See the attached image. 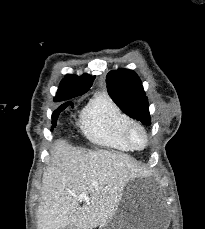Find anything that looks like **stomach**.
<instances>
[{
  "label": "stomach",
  "mask_w": 205,
  "mask_h": 229,
  "mask_svg": "<svg viewBox=\"0 0 205 229\" xmlns=\"http://www.w3.org/2000/svg\"><path fill=\"white\" fill-rule=\"evenodd\" d=\"M169 223V212L160 198L127 190L113 216L100 229H167Z\"/></svg>",
  "instance_id": "obj_1"
}]
</instances>
